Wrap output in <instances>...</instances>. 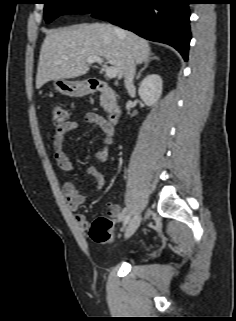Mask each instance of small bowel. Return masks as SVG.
Returning a JSON list of instances; mask_svg holds the SVG:
<instances>
[{
	"mask_svg": "<svg viewBox=\"0 0 236 321\" xmlns=\"http://www.w3.org/2000/svg\"><path fill=\"white\" fill-rule=\"evenodd\" d=\"M88 124L97 126L99 131L104 135V147L97 152L95 160L97 163H103L108 158L109 147L114 140V125L112 122L97 113H88L85 117ZM78 124L73 120H68L61 126H57L52 139L54 157L59 168L66 174L70 175L74 171V165L65 150V136L77 129ZM86 175L95 178L96 190L99 191L104 187L105 179L101 172L94 166H90L85 171ZM63 193L67 206L71 211H76L81 205L87 202L88 196L82 192L75 181L68 180L63 185ZM108 214L117 221L124 218L125 210L119 203H108ZM75 221L82 229L89 227V222L84 214H76Z\"/></svg>",
	"mask_w": 236,
	"mask_h": 321,
	"instance_id": "c3829d8e",
	"label": "small bowel"
}]
</instances>
